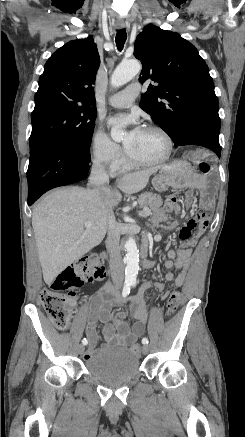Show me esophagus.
<instances>
[{"mask_svg": "<svg viewBox=\"0 0 245 437\" xmlns=\"http://www.w3.org/2000/svg\"><path fill=\"white\" fill-rule=\"evenodd\" d=\"M116 27L119 28V29H122V28L125 27V23L124 22H117L116 23Z\"/></svg>", "mask_w": 245, "mask_h": 437, "instance_id": "34e87169", "label": "esophagus"}]
</instances>
